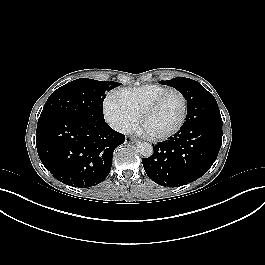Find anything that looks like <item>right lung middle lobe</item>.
Segmentation results:
<instances>
[{
    "label": "right lung middle lobe",
    "mask_w": 265,
    "mask_h": 265,
    "mask_svg": "<svg viewBox=\"0 0 265 265\" xmlns=\"http://www.w3.org/2000/svg\"><path fill=\"white\" fill-rule=\"evenodd\" d=\"M120 83L88 78L71 81L56 89L47 99L42 113H64L80 117L95 116L104 119L103 101L106 90Z\"/></svg>",
    "instance_id": "dd1d6c3e"
}]
</instances>
